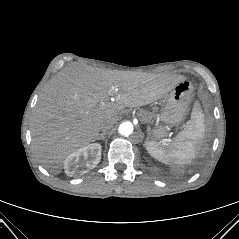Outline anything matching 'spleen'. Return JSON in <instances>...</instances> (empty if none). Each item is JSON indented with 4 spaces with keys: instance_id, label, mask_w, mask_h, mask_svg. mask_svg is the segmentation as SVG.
Masks as SVG:
<instances>
[{
    "instance_id": "3e777b00",
    "label": "spleen",
    "mask_w": 239,
    "mask_h": 239,
    "mask_svg": "<svg viewBox=\"0 0 239 239\" xmlns=\"http://www.w3.org/2000/svg\"><path fill=\"white\" fill-rule=\"evenodd\" d=\"M205 134L204 114L198 103H195L190 120L183 131L174 137L171 143L146 141L148 153L156 160L167 165H184L190 163L199 148V142Z\"/></svg>"
}]
</instances>
